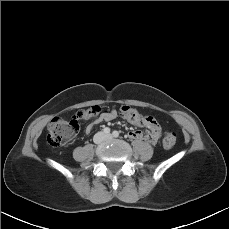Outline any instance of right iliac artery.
<instances>
[{"instance_id":"82829eb1","label":"right iliac artery","mask_w":229,"mask_h":229,"mask_svg":"<svg viewBox=\"0 0 229 229\" xmlns=\"http://www.w3.org/2000/svg\"><path fill=\"white\" fill-rule=\"evenodd\" d=\"M103 131L105 134H110V128H108V127L104 128Z\"/></svg>"}]
</instances>
